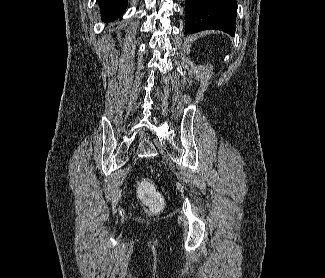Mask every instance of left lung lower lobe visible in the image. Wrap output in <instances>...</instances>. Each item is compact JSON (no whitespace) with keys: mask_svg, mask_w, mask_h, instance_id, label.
Returning a JSON list of instances; mask_svg holds the SVG:
<instances>
[{"mask_svg":"<svg viewBox=\"0 0 325 278\" xmlns=\"http://www.w3.org/2000/svg\"><path fill=\"white\" fill-rule=\"evenodd\" d=\"M236 0H186L185 33L217 29L235 34Z\"/></svg>","mask_w":325,"mask_h":278,"instance_id":"1","label":"left lung lower lobe"}]
</instances>
